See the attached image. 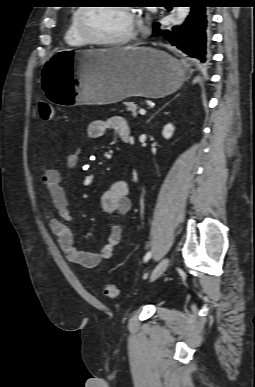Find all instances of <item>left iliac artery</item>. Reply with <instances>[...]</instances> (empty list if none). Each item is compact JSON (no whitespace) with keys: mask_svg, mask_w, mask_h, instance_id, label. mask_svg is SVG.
<instances>
[{"mask_svg":"<svg viewBox=\"0 0 255 387\" xmlns=\"http://www.w3.org/2000/svg\"><path fill=\"white\" fill-rule=\"evenodd\" d=\"M151 252H147L146 255L144 256V262H147L151 258Z\"/></svg>","mask_w":255,"mask_h":387,"instance_id":"obj_1","label":"left iliac artery"}]
</instances>
